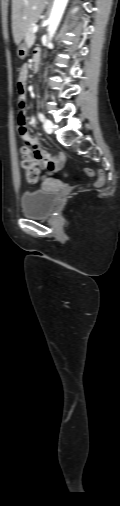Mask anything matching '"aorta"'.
Wrapping results in <instances>:
<instances>
[{
	"mask_svg": "<svg viewBox=\"0 0 120 506\" xmlns=\"http://www.w3.org/2000/svg\"><path fill=\"white\" fill-rule=\"evenodd\" d=\"M68 0H54V4L48 19V43L47 46L50 47L52 45L51 40L59 26L62 15L64 13L65 7L67 5Z\"/></svg>",
	"mask_w": 120,
	"mask_h": 506,
	"instance_id": "aorta-1",
	"label": "aorta"
}]
</instances>
